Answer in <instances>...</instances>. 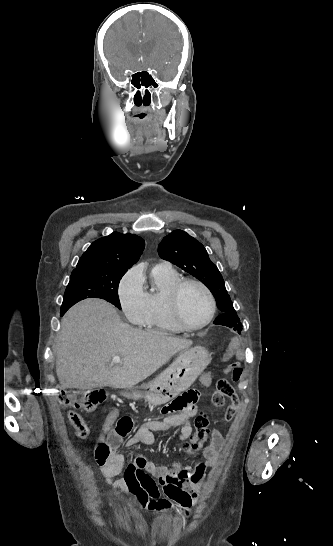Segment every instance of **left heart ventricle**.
I'll list each match as a JSON object with an SVG mask.
<instances>
[{
    "label": "left heart ventricle",
    "instance_id": "b2bd125f",
    "mask_svg": "<svg viewBox=\"0 0 333 546\" xmlns=\"http://www.w3.org/2000/svg\"><path fill=\"white\" fill-rule=\"evenodd\" d=\"M180 309L184 320L188 324H201L210 311L207 295L197 285H186L180 294Z\"/></svg>",
    "mask_w": 333,
    "mask_h": 546
}]
</instances>
